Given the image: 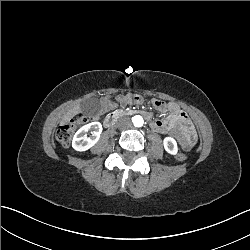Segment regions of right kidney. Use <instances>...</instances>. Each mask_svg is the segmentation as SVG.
Masks as SVG:
<instances>
[{"label": "right kidney", "instance_id": "right-kidney-1", "mask_svg": "<svg viewBox=\"0 0 250 250\" xmlns=\"http://www.w3.org/2000/svg\"><path fill=\"white\" fill-rule=\"evenodd\" d=\"M102 125L100 122H92L82 126L74 135L72 147L77 151H86L94 146L101 135ZM91 131V136H87V132Z\"/></svg>", "mask_w": 250, "mask_h": 250}]
</instances>
